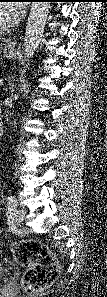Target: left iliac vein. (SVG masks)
Here are the masks:
<instances>
[{
	"mask_svg": "<svg viewBox=\"0 0 107 297\" xmlns=\"http://www.w3.org/2000/svg\"><path fill=\"white\" fill-rule=\"evenodd\" d=\"M25 211L23 209H18L15 213H14V224L16 226L20 225L24 219H25Z\"/></svg>",
	"mask_w": 107,
	"mask_h": 297,
	"instance_id": "left-iliac-vein-1",
	"label": "left iliac vein"
}]
</instances>
